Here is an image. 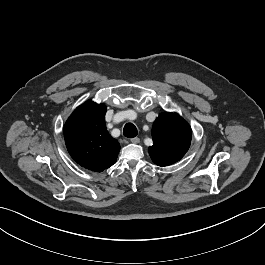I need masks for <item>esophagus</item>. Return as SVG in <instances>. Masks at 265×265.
I'll return each mask as SVG.
<instances>
[{
    "label": "esophagus",
    "instance_id": "obj_1",
    "mask_svg": "<svg viewBox=\"0 0 265 265\" xmlns=\"http://www.w3.org/2000/svg\"><path fill=\"white\" fill-rule=\"evenodd\" d=\"M131 142H132L133 144H138V143H140V139H139L138 137H135V138H132V139H131Z\"/></svg>",
    "mask_w": 265,
    "mask_h": 265
}]
</instances>
